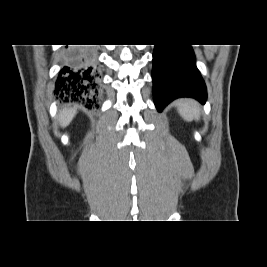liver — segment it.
<instances>
[{
	"mask_svg": "<svg viewBox=\"0 0 267 267\" xmlns=\"http://www.w3.org/2000/svg\"><path fill=\"white\" fill-rule=\"evenodd\" d=\"M76 115V109H65L59 114V122L62 127H66L70 124L74 116Z\"/></svg>",
	"mask_w": 267,
	"mask_h": 267,
	"instance_id": "1",
	"label": "liver"
}]
</instances>
